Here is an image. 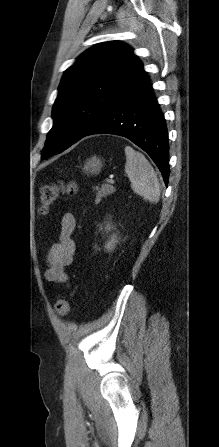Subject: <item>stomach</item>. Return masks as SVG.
Wrapping results in <instances>:
<instances>
[{"label":"stomach","mask_w":219,"mask_h":447,"mask_svg":"<svg viewBox=\"0 0 219 447\" xmlns=\"http://www.w3.org/2000/svg\"><path fill=\"white\" fill-rule=\"evenodd\" d=\"M103 163L101 159L92 157L86 161L83 167V171L87 174H97L100 172Z\"/></svg>","instance_id":"0dacf381"}]
</instances>
